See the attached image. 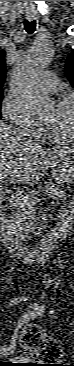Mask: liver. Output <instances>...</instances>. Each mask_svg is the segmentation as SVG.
I'll list each match as a JSON object with an SVG mask.
<instances>
[{
  "label": "liver",
  "mask_w": 74,
  "mask_h": 366,
  "mask_svg": "<svg viewBox=\"0 0 74 366\" xmlns=\"http://www.w3.org/2000/svg\"><path fill=\"white\" fill-rule=\"evenodd\" d=\"M65 156L58 150H44L31 133L0 124V179L10 184L37 183L55 160Z\"/></svg>",
  "instance_id": "obj_1"
}]
</instances>
